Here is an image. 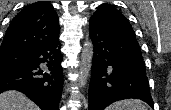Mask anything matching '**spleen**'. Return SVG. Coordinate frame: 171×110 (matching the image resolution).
I'll list each match as a JSON object with an SVG mask.
<instances>
[{
  "instance_id": "3e777b00",
  "label": "spleen",
  "mask_w": 171,
  "mask_h": 110,
  "mask_svg": "<svg viewBox=\"0 0 171 110\" xmlns=\"http://www.w3.org/2000/svg\"><path fill=\"white\" fill-rule=\"evenodd\" d=\"M107 110H147V108L141 100L128 99L111 104Z\"/></svg>"
}]
</instances>
